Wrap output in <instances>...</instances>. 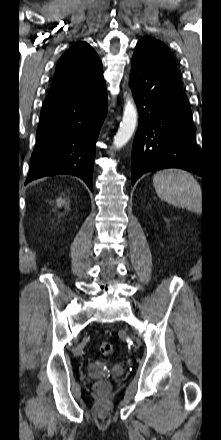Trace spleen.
<instances>
[{
  "label": "spleen",
  "instance_id": "1",
  "mask_svg": "<svg viewBox=\"0 0 221 440\" xmlns=\"http://www.w3.org/2000/svg\"><path fill=\"white\" fill-rule=\"evenodd\" d=\"M153 186L164 201L196 213L201 211V187L191 173L181 169L158 171L153 177Z\"/></svg>",
  "mask_w": 221,
  "mask_h": 440
}]
</instances>
